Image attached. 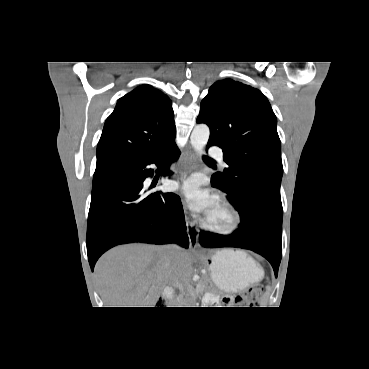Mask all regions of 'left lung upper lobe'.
Masks as SVG:
<instances>
[{
	"label": "left lung upper lobe",
	"instance_id": "obj_1",
	"mask_svg": "<svg viewBox=\"0 0 369 369\" xmlns=\"http://www.w3.org/2000/svg\"><path fill=\"white\" fill-rule=\"evenodd\" d=\"M196 122L209 126L208 144L223 149L229 167L211 178L235 201L240 218H250L256 200L282 205L276 116L260 90L230 79L217 81L202 100Z\"/></svg>",
	"mask_w": 369,
	"mask_h": 369
}]
</instances>
